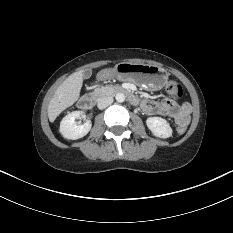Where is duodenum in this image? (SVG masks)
<instances>
[{"label": "duodenum", "instance_id": "1", "mask_svg": "<svg viewBox=\"0 0 233 233\" xmlns=\"http://www.w3.org/2000/svg\"><path fill=\"white\" fill-rule=\"evenodd\" d=\"M111 92L126 95L129 101L133 104H137L139 102V98L136 95L123 87H113ZM95 102L96 96L94 94H85L79 99L78 104L83 109H90L94 106Z\"/></svg>", "mask_w": 233, "mask_h": 233}]
</instances>
